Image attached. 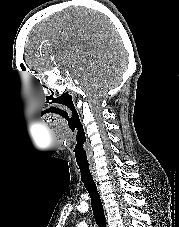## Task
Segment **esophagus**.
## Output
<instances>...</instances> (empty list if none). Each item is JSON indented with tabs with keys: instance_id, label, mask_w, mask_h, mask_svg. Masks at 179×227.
Here are the masks:
<instances>
[{
	"instance_id": "1",
	"label": "esophagus",
	"mask_w": 179,
	"mask_h": 227,
	"mask_svg": "<svg viewBox=\"0 0 179 227\" xmlns=\"http://www.w3.org/2000/svg\"><path fill=\"white\" fill-rule=\"evenodd\" d=\"M90 171H91L93 180H94V182H95V184H96V186H97V188L99 190L98 178H97V174H96V171H95L94 167L91 166L90 167Z\"/></svg>"
}]
</instances>
